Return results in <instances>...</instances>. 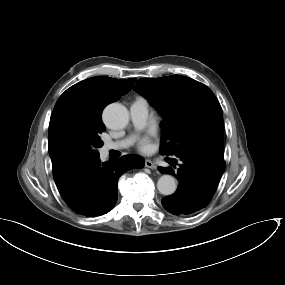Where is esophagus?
Wrapping results in <instances>:
<instances>
[{
  "label": "esophagus",
  "mask_w": 285,
  "mask_h": 285,
  "mask_svg": "<svg viewBox=\"0 0 285 285\" xmlns=\"http://www.w3.org/2000/svg\"><path fill=\"white\" fill-rule=\"evenodd\" d=\"M145 166L146 167H148V168H150V169H156V164L155 163H153L151 160H149V159H146L145 160Z\"/></svg>",
  "instance_id": "1"
}]
</instances>
